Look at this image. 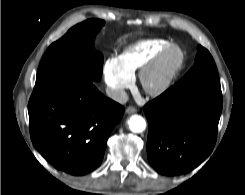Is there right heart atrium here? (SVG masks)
Wrapping results in <instances>:
<instances>
[{"mask_svg": "<svg viewBox=\"0 0 245 195\" xmlns=\"http://www.w3.org/2000/svg\"><path fill=\"white\" fill-rule=\"evenodd\" d=\"M103 79L108 93L115 101H122L133 78L120 65L117 58L110 57L103 64Z\"/></svg>", "mask_w": 245, "mask_h": 195, "instance_id": "right-heart-atrium-1", "label": "right heart atrium"}]
</instances>
